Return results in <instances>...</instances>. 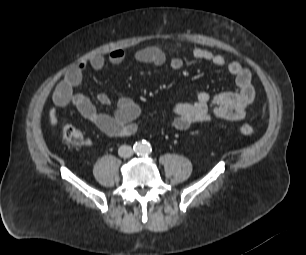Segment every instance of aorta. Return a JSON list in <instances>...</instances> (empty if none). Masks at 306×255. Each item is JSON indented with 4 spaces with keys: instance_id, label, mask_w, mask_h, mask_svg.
Wrapping results in <instances>:
<instances>
[{
    "instance_id": "762f6f07",
    "label": "aorta",
    "mask_w": 306,
    "mask_h": 255,
    "mask_svg": "<svg viewBox=\"0 0 306 255\" xmlns=\"http://www.w3.org/2000/svg\"><path fill=\"white\" fill-rule=\"evenodd\" d=\"M134 150L138 155L146 156L151 153L152 147L147 142H138L135 144Z\"/></svg>"
}]
</instances>
